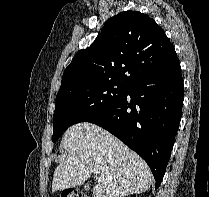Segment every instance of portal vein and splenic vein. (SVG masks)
Returning a JSON list of instances; mask_svg holds the SVG:
<instances>
[{
	"instance_id": "18ae733b",
	"label": "portal vein and splenic vein",
	"mask_w": 209,
	"mask_h": 197,
	"mask_svg": "<svg viewBox=\"0 0 209 197\" xmlns=\"http://www.w3.org/2000/svg\"><path fill=\"white\" fill-rule=\"evenodd\" d=\"M93 173H94L95 175H97V174L99 173V171H98L97 169H93Z\"/></svg>"
}]
</instances>
